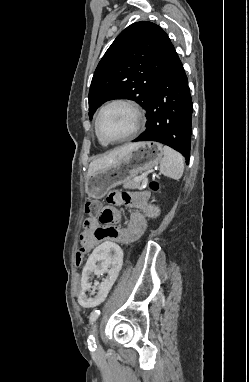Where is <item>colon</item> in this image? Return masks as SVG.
<instances>
[{
    "instance_id": "obj_1",
    "label": "colon",
    "mask_w": 249,
    "mask_h": 382,
    "mask_svg": "<svg viewBox=\"0 0 249 382\" xmlns=\"http://www.w3.org/2000/svg\"><path fill=\"white\" fill-rule=\"evenodd\" d=\"M152 189L157 190L158 184L156 182H153L151 184ZM103 205L99 200H90L85 204V212L91 215H99L101 211L103 210ZM83 260V251L79 250L76 254V269L80 270L83 266L82 263Z\"/></svg>"
}]
</instances>
